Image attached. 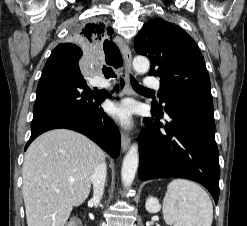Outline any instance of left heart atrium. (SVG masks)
Masks as SVG:
<instances>
[{"label": "left heart atrium", "instance_id": "1", "mask_svg": "<svg viewBox=\"0 0 247 226\" xmlns=\"http://www.w3.org/2000/svg\"><path fill=\"white\" fill-rule=\"evenodd\" d=\"M109 113L120 124L124 126H128L131 120L132 107L131 104L126 101L112 103L109 106Z\"/></svg>", "mask_w": 247, "mask_h": 226}]
</instances>
